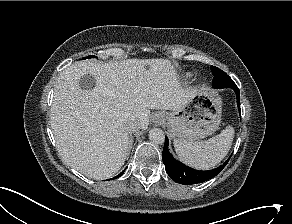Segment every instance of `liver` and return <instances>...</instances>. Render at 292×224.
Returning a JSON list of instances; mask_svg holds the SVG:
<instances>
[{"label": "liver", "mask_w": 292, "mask_h": 224, "mask_svg": "<svg viewBox=\"0 0 292 224\" xmlns=\"http://www.w3.org/2000/svg\"><path fill=\"white\" fill-rule=\"evenodd\" d=\"M90 74L95 87L84 90ZM197 92L183 87L167 59H127L113 63L81 61L64 69L55 84L50 122L61 157L87 177L106 179L127 158L124 121L149 125L150 109L175 111Z\"/></svg>", "instance_id": "1"}]
</instances>
